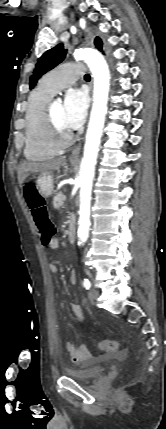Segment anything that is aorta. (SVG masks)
I'll return each instance as SVG.
<instances>
[{"label": "aorta", "instance_id": "1", "mask_svg": "<svg viewBox=\"0 0 166 429\" xmlns=\"http://www.w3.org/2000/svg\"><path fill=\"white\" fill-rule=\"evenodd\" d=\"M74 57L87 63L94 78L93 106L79 176L80 217L78 221V245H81L86 242L89 233L91 191L107 112L110 73L104 57L95 49H77L74 52Z\"/></svg>", "mask_w": 166, "mask_h": 429}]
</instances>
